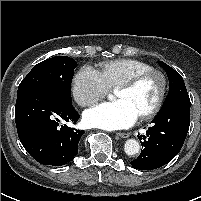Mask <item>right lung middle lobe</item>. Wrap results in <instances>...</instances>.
<instances>
[{"instance_id":"1","label":"right lung middle lobe","mask_w":201,"mask_h":201,"mask_svg":"<svg viewBox=\"0 0 201 201\" xmlns=\"http://www.w3.org/2000/svg\"><path fill=\"white\" fill-rule=\"evenodd\" d=\"M77 63L67 56H56L35 65L18 87V93L32 87L48 88L72 103L71 81Z\"/></svg>"}]
</instances>
